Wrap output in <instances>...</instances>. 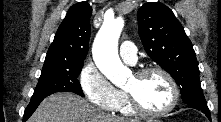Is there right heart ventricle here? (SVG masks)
<instances>
[{"label":"right heart ventricle","instance_id":"right-heart-ventricle-1","mask_svg":"<svg viewBox=\"0 0 221 122\" xmlns=\"http://www.w3.org/2000/svg\"><path fill=\"white\" fill-rule=\"evenodd\" d=\"M116 91V99L111 110L125 116L134 115L136 112L131 107L125 92L117 89Z\"/></svg>","mask_w":221,"mask_h":122}]
</instances>
